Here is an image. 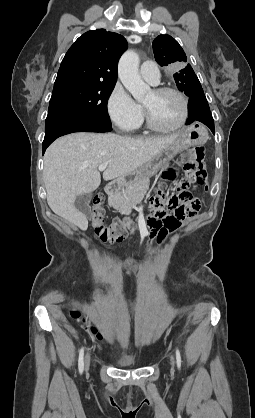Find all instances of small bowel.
I'll return each instance as SVG.
<instances>
[{
    "label": "small bowel",
    "instance_id": "small-bowel-1",
    "mask_svg": "<svg viewBox=\"0 0 255 418\" xmlns=\"http://www.w3.org/2000/svg\"><path fill=\"white\" fill-rule=\"evenodd\" d=\"M165 179L166 180H171L174 177L173 172L168 171L165 172ZM183 221H178V224L175 228H173L172 230H170L169 228H166L164 230V233L166 235H169L171 233V231L176 230L182 223ZM167 241V236L165 235H160L159 238H157L156 235H151L150 236V241L147 242V247L144 249V254L146 256H157L159 254V249L157 248L158 245H160L162 242ZM91 333L99 340L102 341L103 340V336L101 333L97 332L96 329L92 328L91 329Z\"/></svg>",
    "mask_w": 255,
    "mask_h": 418
}]
</instances>
